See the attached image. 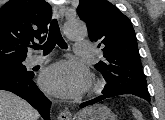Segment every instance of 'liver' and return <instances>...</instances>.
Listing matches in <instances>:
<instances>
[{"label":"liver","instance_id":"6515ba94","mask_svg":"<svg viewBox=\"0 0 165 120\" xmlns=\"http://www.w3.org/2000/svg\"><path fill=\"white\" fill-rule=\"evenodd\" d=\"M39 113L17 95L0 90V120H37Z\"/></svg>","mask_w":165,"mask_h":120}]
</instances>
